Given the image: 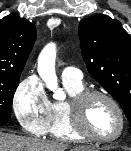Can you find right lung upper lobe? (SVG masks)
<instances>
[{"instance_id": "cb5924a9", "label": "right lung upper lobe", "mask_w": 131, "mask_h": 151, "mask_svg": "<svg viewBox=\"0 0 131 151\" xmlns=\"http://www.w3.org/2000/svg\"><path fill=\"white\" fill-rule=\"evenodd\" d=\"M36 41L35 25L16 14L0 19V74L22 72Z\"/></svg>"}]
</instances>
